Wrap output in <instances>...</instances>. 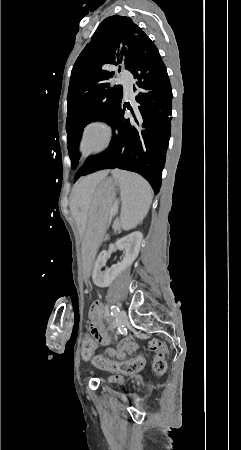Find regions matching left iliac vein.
Segmentation results:
<instances>
[{
    "label": "left iliac vein",
    "mask_w": 241,
    "mask_h": 450,
    "mask_svg": "<svg viewBox=\"0 0 241 450\" xmlns=\"http://www.w3.org/2000/svg\"><path fill=\"white\" fill-rule=\"evenodd\" d=\"M119 325H125L127 322V315L125 310H121L117 319Z\"/></svg>",
    "instance_id": "1"
}]
</instances>
